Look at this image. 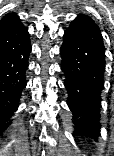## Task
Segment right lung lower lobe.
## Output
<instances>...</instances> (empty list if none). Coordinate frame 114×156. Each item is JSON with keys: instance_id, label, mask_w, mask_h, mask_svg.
<instances>
[{"instance_id": "obj_1", "label": "right lung lower lobe", "mask_w": 114, "mask_h": 156, "mask_svg": "<svg viewBox=\"0 0 114 156\" xmlns=\"http://www.w3.org/2000/svg\"><path fill=\"white\" fill-rule=\"evenodd\" d=\"M31 44L27 28L15 14L0 20V134L11 124L23 89Z\"/></svg>"}]
</instances>
